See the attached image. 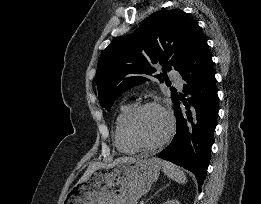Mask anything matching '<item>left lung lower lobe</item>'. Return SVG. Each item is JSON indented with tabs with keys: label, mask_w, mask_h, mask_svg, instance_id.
Wrapping results in <instances>:
<instances>
[{
	"label": "left lung lower lobe",
	"mask_w": 261,
	"mask_h": 204,
	"mask_svg": "<svg viewBox=\"0 0 261 204\" xmlns=\"http://www.w3.org/2000/svg\"><path fill=\"white\" fill-rule=\"evenodd\" d=\"M180 74L186 84L183 88L185 94H176L173 100L176 135L159 157L193 172L201 191L219 108L212 55L200 30L195 34ZM187 95L190 97L186 99ZM182 103L185 110L180 107Z\"/></svg>",
	"instance_id": "0a47b994"
}]
</instances>
